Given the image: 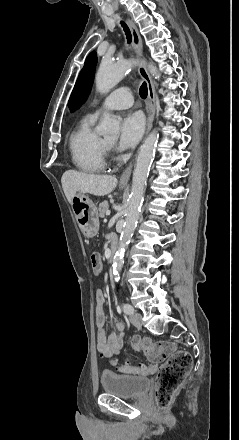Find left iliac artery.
Returning <instances> with one entry per match:
<instances>
[{"label": "left iliac artery", "mask_w": 239, "mask_h": 440, "mask_svg": "<svg viewBox=\"0 0 239 440\" xmlns=\"http://www.w3.org/2000/svg\"><path fill=\"white\" fill-rule=\"evenodd\" d=\"M122 307H123L124 313H126L128 315L133 314L134 308L130 304L124 303Z\"/></svg>", "instance_id": "44dca946"}]
</instances>
